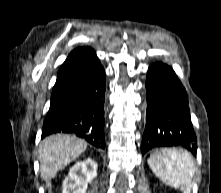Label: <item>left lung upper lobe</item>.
Masks as SVG:
<instances>
[{
	"mask_svg": "<svg viewBox=\"0 0 221 193\" xmlns=\"http://www.w3.org/2000/svg\"><path fill=\"white\" fill-rule=\"evenodd\" d=\"M162 116L167 125H173L175 123L174 112L171 108L165 107V109H163L162 111Z\"/></svg>",
	"mask_w": 221,
	"mask_h": 193,
	"instance_id": "5c2ea615",
	"label": "left lung upper lobe"
}]
</instances>
